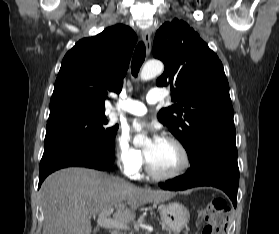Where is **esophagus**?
<instances>
[{
	"instance_id": "34e87169",
	"label": "esophagus",
	"mask_w": 279,
	"mask_h": 234,
	"mask_svg": "<svg viewBox=\"0 0 279 234\" xmlns=\"http://www.w3.org/2000/svg\"><path fill=\"white\" fill-rule=\"evenodd\" d=\"M141 36L145 44L146 50L149 53L151 50V32L149 30H144L142 31Z\"/></svg>"
}]
</instances>
